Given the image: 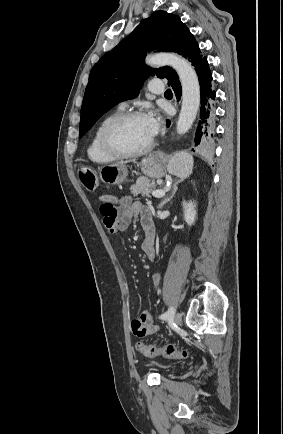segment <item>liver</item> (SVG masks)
<instances>
[{
	"label": "liver",
	"instance_id": "obj_1",
	"mask_svg": "<svg viewBox=\"0 0 283 434\" xmlns=\"http://www.w3.org/2000/svg\"><path fill=\"white\" fill-rule=\"evenodd\" d=\"M126 162H119L118 164H125Z\"/></svg>",
	"mask_w": 283,
	"mask_h": 434
}]
</instances>
